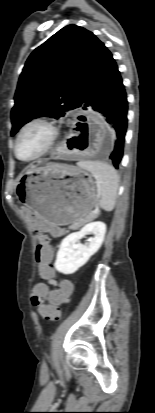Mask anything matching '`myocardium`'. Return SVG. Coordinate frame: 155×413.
Returning a JSON list of instances; mask_svg holds the SVG:
<instances>
[{"label": "myocardium", "mask_w": 155, "mask_h": 413, "mask_svg": "<svg viewBox=\"0 0 155 413\" xmlns=\"http://www.w3.org/2000/svg\"><path fill=\"white\" fill-rule=\"evenodd\" d=\"M35 124H43V125L47 126L51 131V136H50V139H49L47 145L45 146V148L40 153H38L37 155H35L32 158L25 159V158H22L18 153V144H19L20 138H21L22 134L24 133V131L26 129H28L30 126L35 125ZM58 133L59 132H58V128H57L56 124L53 121H51L47 118L38 117V118H34V119L28 121L27 123H25L20 128V130H19V132L16 136V139H15L14 154H15L16 158L20 161H23V162H31V161H34V160L44 156L53 147V145H54V143H55V141L58 137Z\"/></svg>", "instance_id": "myocardium-1"}]
</instances>
